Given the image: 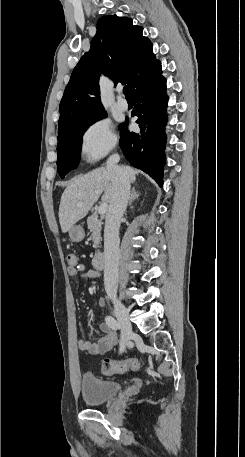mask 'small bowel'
Returning a JSON list of instances; mask_svg holds the SVG:
<instances>
[{"instance_id":"obj_1","label":"small bowel","mask_w":245,"mask_h":457,"mask_svg":"<svg viewBox=\"0 0 245 457\" xmlns=\"http://www.w3.org/2000/svg\"><path fill=\"white\" fill-rule=\"evenodd\" d=\"M68 274L71 277L80 276L85 279L97 278L98 273L93 270H85L81 267L77 268H68ZM106 303L105 298L101 297L98 301L99 306L103 307ZM98 327L104 336L100 338L97 342L93 343L84 337L78 339V348L89 355L95 356L104 354L110 351L117 343V334L112 331L110 326L105 322L98 323Z\"/></svg>"}]
</instances>
